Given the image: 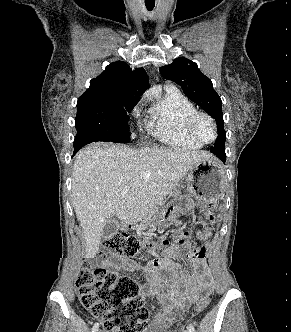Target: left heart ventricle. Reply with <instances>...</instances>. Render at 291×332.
I'll list each match as a JSON object with an SVG mask.
<instances>
[{
	"label": "left heart ventricle",
	"instance_id": "b2bd125f",
	"mask_svg": "<svg viewBox=\"0 0 291 332\" xmlns=\"http://www.w3.org/2000/svg\"><path fill=\"white\" fill-rule=\"evenodd\" d=\"M196 131L198 133V135L206 141H209L213 138L214 136V131H213V127L211 126V124L204 118H201L198 122H197V126H196Z\"/></svg>",
	"mask_w": 291,
	"mask_h": 332
}]
</instances>
